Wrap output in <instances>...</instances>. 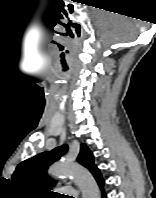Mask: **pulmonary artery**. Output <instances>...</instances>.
Wrapping results in <instances>:
<instances>
[{"instance_id":"pulmonary-artery-1","label":"pulmonary artery","mask_w":156,"mask_h":198,"mask_svg":"<svg viewBox=\"0 0 156 198\" xmlns=\"http://www.w3.org/2000/svg\"><path fill=\"white\" fill-rule=\"evenodd\" d=\"M61 190L68 192V191H72L73 188L69 187V186H63V187H61Z\"/></svg>"}]
</instances>
